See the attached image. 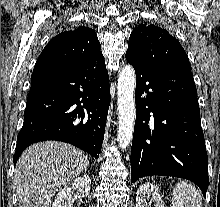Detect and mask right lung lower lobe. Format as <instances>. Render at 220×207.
I'll use <instances>...</instances> for the list:
<instances>
[{
  "label": "right lung lower lobe",
  "mask_w": 220,
  "mask_h": 207,
  "mask_svg": "<svg viewBox=\"0 0 220 207\" xmlns=\"http://www.w3.org/2000/svg\"><path fill=\"white\" fill-rule=\"evenodd\" d=\"M110 100L102 54L74 67L35 68L14 164L25 148L45 140L70 143L98 158Z\"/></svg>",
  "instance_id": "obj_1"
}]
</instances>
